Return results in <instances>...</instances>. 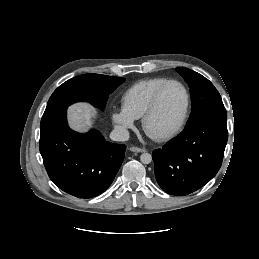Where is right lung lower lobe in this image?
Wrapping results in <instances>:
<instances>
[{
	"label": "right lung lower lobe",
	"mask_w": 259,
	"mask_h": 259,
	"mask_svg": "<svg viewBox=\"0 0 259 259\" xmlns=\"http://www.w3.org/2000/svg\"><path fill=\"white\" fill-rule=\"evenodd\" d=\"M66 110L43 115L40 153L48 176L61 190L78 198H92L113 182L126 146L105 141L97 130L86 134L72 131Z\"/></svg>",
	"instance_id": "1"
}]
</instances>
